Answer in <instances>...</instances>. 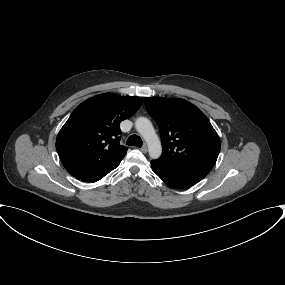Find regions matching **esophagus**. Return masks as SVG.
<instances>
[{"mask_svg":"<svg viewBox=\"0 0 285 285\" xmlns=\"http://www.w3.org/2000/svg\"><path fill=\"white\" fill-rule=\"evenodd\" d=\"M140 150H141L142 152L146 153L147 150H148L147 145H143Z\"/></svg>","mask_w":285,"mask_h":285,"instance_id":"obj_1","label":"esophagus"}]
</instances>
